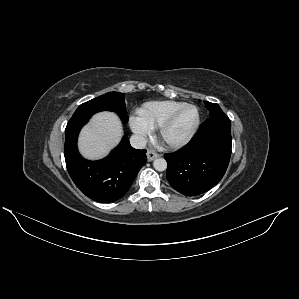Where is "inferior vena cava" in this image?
Returning a JSON list of instances; mask_svg holds the SVG:
<instances>
[{
	"instance_id": "obj_1",
	"label": "inferior vena cava",
	"mask_w": 299,
	"mask_h": 299,
	"mask_svg": "<svg viewBox=\"0 0 299 299\" xmlns=\"http://www.w3.org/2000/svg\"><path fill=\"white\" fill-rule=\"evenodd\" d=\"M131 146L135 149H143L146 146V139L141 135H132L130 138Z\"/></svg>"
}]
</instances>
